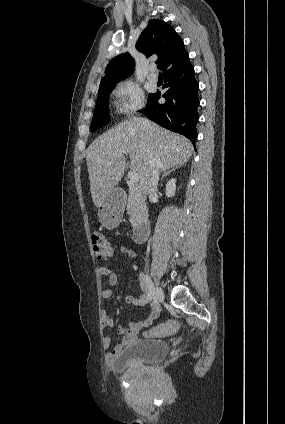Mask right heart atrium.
Segmentation results:
<instances>
[{
	"label": "right heart atrium",
	"mask_w": 285,
	"mask_h": 424,
	"mask_svg": "<svg viewBox=\"0 0 285 424\" xmlns=\"http://www.w3.org/2000/svg\"><path fill=\"white\" fill-rule=\"evenodd\" d=\"M115 108L121 115H131L144 105V92L140 85L132 79L120 81L114 88Z\"/></svg>",
	"instance_id": "obj_1"
}]
</instances>
